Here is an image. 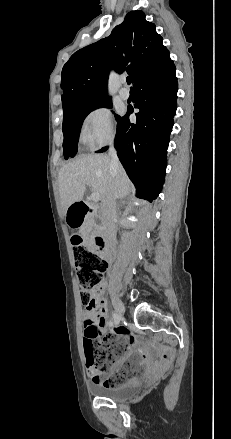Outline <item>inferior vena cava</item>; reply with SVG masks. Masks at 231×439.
I'll return each instance as SVG.
<instances>
[{
	"instance_id": "1",
	"label": "inferior vena cava",
	"mask_w": 231,
	"mask_h": 439,
	"mask_svg": "<svg viewBox=\"0 0 231 439\" xmlns=\"http://www.w3.org/2000/svg\"><path fill=\"white\" fill-rule=\"evenodd\" d=\"M109 155L111 157L110 169L117 171L120 167V162L113 146L109 148ZM102 219L105 227L107 228L108 235L115 237V219L117 214L116 198L111 193L103 202L101 208Z\"/></svg>"
}]
</instances>
